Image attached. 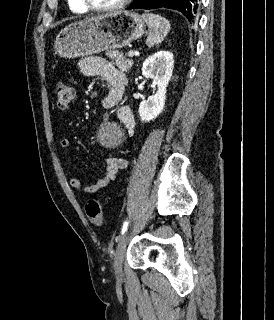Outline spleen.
I'll return each instance as SVG.
<instances>
[{
	"mask_svg": "<svg viewBox=\"0 0 274 320\" xmlns=\"http://www.w3.org/2000/svg\"><path fill=\"white\" fill-rule=\"evenodd\" d=\"M142 18L149 28V36L146 40L147 46L151 48L154 44H160L170 30L168 20L162 18V16H157V14H142Z\"/></svg>",
	"mask_w": 274,
	"mask_h": 320,
	"instance_id": "3e777b00",
	"label": "spleen"
}]
</instances>
